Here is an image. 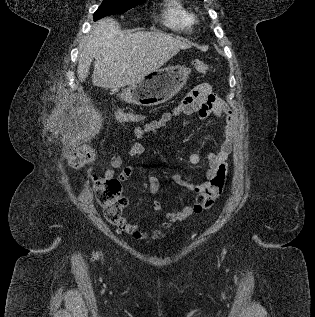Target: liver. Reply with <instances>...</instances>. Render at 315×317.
Segmentation results:
<instances>
[{
    "label": "liver",
    "instance_id": "6515ba94",
    "mask_svg": "<svg viewBox=\"0 0 315 317\" xmlns=\"http://www.w3.org/2000/svg\"><path fill=\"white\" fill-rule=\"evenodd\" d=\"M191 45L162 32L122 31L117 21L104 18L93 25L82 47L77 76L84 82L95 59L93 85L119 89L136 83Z\"/></svg>",
    "mask_w": 315,
    "mask_h": 317
}]
</instances>
